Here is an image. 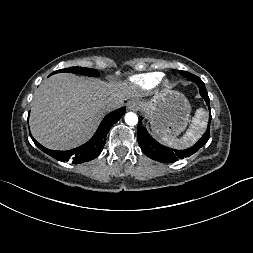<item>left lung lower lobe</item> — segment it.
<instances>
[{
	"mask_svg": "<svg viewBox=\"0 0 253 253\" xmlns=\"http://www.w3.org/2000/svg\"><path fill=\"white\" fill-rule=\"evenodd\" d=\"M187 78H189V80L193 81L194 83L198 85L200 94L205 99L209 107V97H208V93L203 81L199 77L193 74H190ZM210 120H211V114H210L209 121ZM209 127H210V124L208 125V128L205 134L202 136V138L191 148L186 149V150H173L155 141L148 134L146 128L142 126V117H139V123H138V128H137V138H138L140 148L151 159L159 161V162H175L179 159H183L185 157L191 156L193 153L198 151L203 145L207 143L210 137Z\"/></svg>",
	"mask_w": 253,
	"mask_h": 253,
	"instance_id": "obj_1",
	"label": "left lung lower lobe"
}]
</instances>
